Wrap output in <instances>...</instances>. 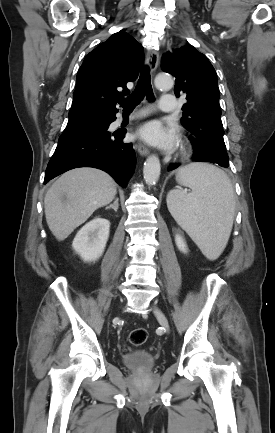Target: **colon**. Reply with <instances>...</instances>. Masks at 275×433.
Instances as JSON below:
<instances>
[{
  "label": "colon",
  "mask_w": 275,
  "mask_h": 433,
  "mask_svg": "<svg viewBox=\"0 0 275 433\" xmlns=\"http://www.w3.org/2000/svg\"><path fill=\"white\" fill-rule=\"evenodd\" d=\"M148 336V331L145 328H137L131 332L129 341L131 345L138 347L147 341Z\"/></svg>",
  "instance_id": "1"
}]
</instances>
